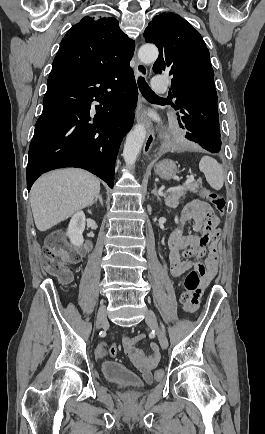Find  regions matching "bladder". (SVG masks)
<instances>
[{
	"mask_svg": "<svg viewBox=\"0 0 265 434\" xmlns=\"http://www.w3.org/2000/svg\"><path fill=\"white\" fill-rule=\"evenodd\" d=\"M100 369L108 381L124 385L141 386L139 378L120 363L105 361L101 364Z\"/></svg>",
	"mask_w": 265,
	"mask_h": 434,
	"instance_id": "bladder-1",
	"label": "bladder"
}]
</instances>
